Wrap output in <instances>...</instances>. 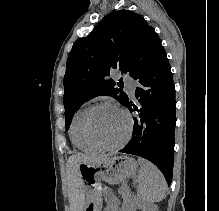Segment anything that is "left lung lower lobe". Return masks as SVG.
Wrapping results in <instances>:
<instances>
[{
    "instance_id": "obj_1",
    "label": "left lung lower lobe",
    "mask_w": 219,
    "mask_h": 211,
    "mask_svg": "<svg viewBox=\"0 0 219 211\" xmlns=\"http://www.w3.org/2000/svg\"><path fill=\"white\" fill-rule=\"evenodd\" d=\"M138 87L137 102L129 98L123 103L136 112L132 138L120 150L141 156L154 163L168 184L172 181L174 164V130L176 124L175 85L164 51L143 72L133 77Z\"/></svg>"
}]
</instances>
